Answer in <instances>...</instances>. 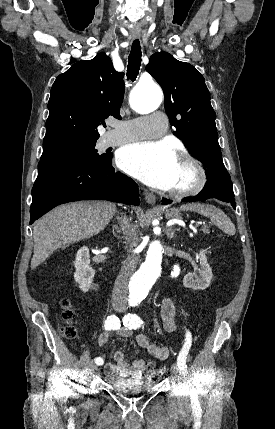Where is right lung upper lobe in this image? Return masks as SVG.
Here are the masks:
<instances>
[{"mask_svg": "<svg viewBox=\"0 0 275 429\" xmlns=\"http://www.w3.org/2000/svg\"><path fill=\"white\" fill-rule=\"evenodd\" d=\"M124 74L104 53L73 64L60 74L50 92L49 117L41 157L75 145L96 143L97 127L108 116L121 118Z\"/></svg>", "mask_w": 275, "mask_h": 429, "instance_id": "obj_1", "label": "right lung upper lobe"}]
</instances>
